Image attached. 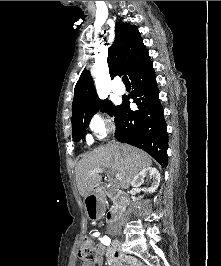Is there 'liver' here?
Segmentation results:
<instances>
[{"instance_id":"1","label":"liver","mask_w":221,"mask_h":266,"mask_svg":"<svg viewBox=\"0 0 221 266\" xmlns=\"http://www.w3.org/2000/svg\"><path fill=\"white\" fill-rule=\"evenodd\" d=\"M152 165L151 157L144 151L125 144H107L85 154L75 168L76 184L80 195L87 198V192L98 186L102 176L91 174L96 168H107L109 173L121 175L118 185L127 189L135 176Z\"/></svg>"}]
</instances>
